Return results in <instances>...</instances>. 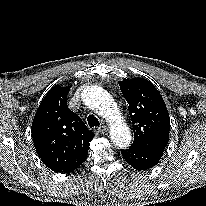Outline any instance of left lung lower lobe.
Here are the masks:
<instances>
[{
	"label": "left lung lower lobe",
	"instance_id": "obj_1",
	"mask_svg": "<svg viewBox=\"0 0 206 206\" xmlns=\"http://www.w3.org/2000/svg\"><path fill=\"white\" fill-rule=\"evenodd\" d=\"M121 153L123 158L137 170L152 168L163 155V152L147 151L132 146L129 149L121 150Z\"/></svg>",
	"mask_w": 206,
	"mask_h": 206
}]
</instances>
